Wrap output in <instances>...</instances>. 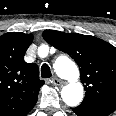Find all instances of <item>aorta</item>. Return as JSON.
I'll use <instances>...</instances> for the list:
<instances>
[{
  "instance_id": "1",
  "label": "aorta",
  "mask_w": 116,
  "mask_h": 116,
  "mask_svg": "<svg viewBox=\"0 0 116 116\" xmlns=\"http://www.w3.org/2000/svg\"><path fill=\"white\" fill-rule=\"evenodd\" d=\"M58 74L68 81L62 90L61 97L63 101L70 107L77 106L83 99V86L78 81L79 71L69 58L60 57L55 64Z\"/></svg>"
}]
</instances>
